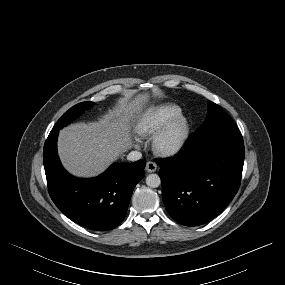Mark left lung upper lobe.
<instances>
[{
	"instance_id": "left-lung-upper-lobe-1",
	"label": "left lung upper lobe",
	"mask_w": 285,
	"mask_h": 285,
	"mask_svg": "<svg viewBox=\"0 0 285 285\" xmlns=\"http://www.w3.org/2000/svg\"><path fill=\"white\" fill-rule=\"evenodd\" d=\"M228 137H242V135L232 118L219 105L209 101L207 117L190 136L189 141L201 142Z\"/></svg>"
}]
</instances>
